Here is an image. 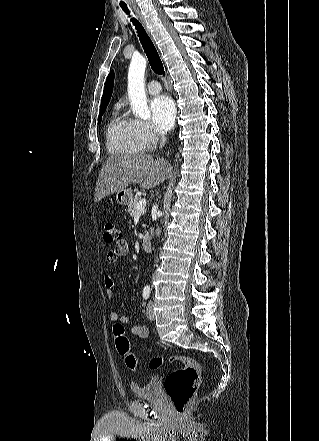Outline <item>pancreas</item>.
Wrapping results in <instances>:
<instances>
[{"mask_svg":"<svg viewBox=\"0 0 319 441\" xmlns=\"http://www.w3.org/2000/svg\"><path fill=\"white\" fill-rule=\"evenodd\" d=\"M140 201V198L135 197L134 199H132V201L128 204V208H127V212L130 216H133V214L135 213L136 210V206L138 204V202Z\"/></svg>","mask_w":319,"mask_h":441,"instance_id":"pancreas-1","label":"pancreas"}]
</instances>
